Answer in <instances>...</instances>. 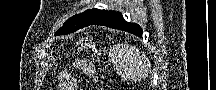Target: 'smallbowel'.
<instances>
[{"mask_svg": "<svg viewBox=\"0 0 216 90\" xmlns=\"http://www.w3.org/2000/svg\"><path fill=\"white\" fill-rule=\"evenodd\" d=\"M83 70L86 74L91 75L93 73V68L90 65H85ZM60 84L62 90H77V83L75 78L69 72H63L60 75Z\"/></svg>", "mask_w": 216, "mask_h": 90, "instance_id": "c3829d8e", "label": "small bowel"}]
</instances>
